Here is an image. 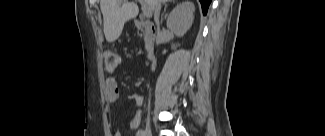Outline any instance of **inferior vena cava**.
<instances>
[{"instance_id": "1", "label": "inferior vena cava", "mask_w": 325, "mask_h": 136, "mask_svg": "<svg viewBox=\"0 0 325 136\" xmlns=\"http://www.w3.org/2000/svg\"><path fill=\"white\" fill-rule=\"evenodd\" d=\"M161 5L160 3H156L154 8V19L157 25H159V16H160Z\"/></svg>"}]
</instances>
